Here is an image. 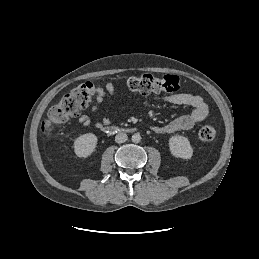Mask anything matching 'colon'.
Returning <instances> with one entry per match:
<instances>
[{"instance_id":"colon-1","label":"colon","mask_w":259,"mask_h":259,"mask_svg":"<svg viewBox=\"0 0 259 259\" xmlns=\"http://www.w3.org/2000/svg\"><path fill=\"white\" fill-rule=\"evenodd\" d=\"M126 85L129 90L143 95L159 92L174 93L180 89V80L176 75L156 77L152 74H144L129 78ZM99 90L98 85L85 82L65 94L57 104L50 108L48 118L42 124L43 132L54 131L71 118L78 116ZM215 137L216 129L213 125H204L199 130V138L203 141H212Z\"/></svg>"}]
</instances>
